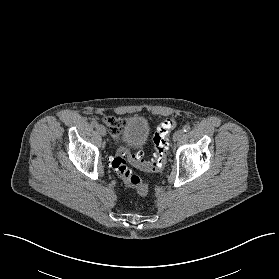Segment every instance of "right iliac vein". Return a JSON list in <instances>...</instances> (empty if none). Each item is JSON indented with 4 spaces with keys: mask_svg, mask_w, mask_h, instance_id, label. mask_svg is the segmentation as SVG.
<instances>
[{
    "mask_svg": "<svg viewBox=\"0 0 279 279\" xmlns=\"http://www.w3.org/2000/svg\"><path fill=\"white\" fill-rule=\"evenodd\" d=\"M97 131L100 133V135L105 136L106 135V129L103 125L97 126Z\"/></svg>",
    "mask_w": 279,
    "mask_h": 279,
    "instance_id": "obj_1",
    "label": "right iliac vein"
}]
</instances>
